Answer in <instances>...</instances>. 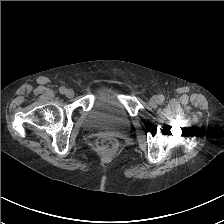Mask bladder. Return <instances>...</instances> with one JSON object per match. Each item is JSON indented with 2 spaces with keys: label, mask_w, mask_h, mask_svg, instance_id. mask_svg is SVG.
I'll use <instances>...</instances> for the list:
<instances>
[{
  "label": "bladder",
  "mask_w": 224,
  "mask_h": 224,
  "mask_svg": "<svg viewBox=\"0 0 224 224\" xmlns=\"http://www.w3.org/2000/svg\"><path fill=\"white\" fill-rule=\"evenodd\" d=\"M120 90L113 85L100 87L87 112L84 128L93 133H126L131 126L130 117L122 103Z\"/></svg>",
  "instance_id": "31cf9c89"
}]
</instances>
